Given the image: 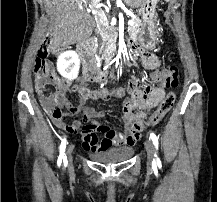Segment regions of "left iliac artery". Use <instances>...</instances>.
I'll list each match as a JSON object with an SVG mask.
<instances>
[{
	"label": "left iliac artery",
	"mask_w": 217,
	"mask_h": 202,
	"mask_svg": "<svg viewBox=\"0 0 217 202\" xmlns=\"http://www.w3.org/2000/svg\"><path fill=\"white\" fill-rule=\"evenodd\" d=\"M150 138L151 140L153 141V144L155 145V148L156 150L158 149V138L157 136L154 134V133H151L150 134ZM155 157H156V162H157V165H159L161 163L160 159L157 157V155L155 154Z\"/></svg>",
	"instance_id": "44dca946"
}]
</instances>
